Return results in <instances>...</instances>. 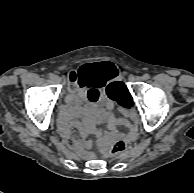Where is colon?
<instances>
[{
  "label": "colon",
  "mask_w": 194,
  "mask_h": 193,
  "mask_svg": "<svg viewBox=\"0 0 194 193\" xmlns=\"http://www.w3.org/2000/svg\"><path fill=\"white\" fill-rule=\"evenodd\" d=\"M68 80L72 87L78 85V76L76 73L71 72L68 75ZM121 88V84L119 82H114L107 87V94L111 98H117V91ZM126 148V144L122 139H114L108 145V150L111 154H120Z\"/></svg>",
  "instance_id": "colon-1"
}]
</instances>
